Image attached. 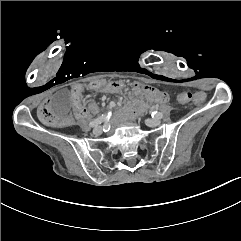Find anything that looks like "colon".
Instances as JSON below:
<instances>
[{"label":"colon","instance_id":"obj_1","mask_svg":"<svg viewBox=\"0 0 241 241\" xmlns=\"http://www.w3.org/2000/svg\"><path fill=\"white\" fill-rule=\"evenodd\" d=\"M86 90L90 91L92 88V91L94 93H99L101 91L100 81L98 79H87L85 81ZM85 90V87L82 84H73L71 86V93L70 96L73 99H76L78 105L81 107L84 103V98L81 95V93ZM193 96V100L195 104L202 105L205 102V97L202 92H198L196 94H192L189 92H183L179 96V101L182 104H187L191 102ZM85 114V111L83 109H80L79 111H75L73 113V116L75 118H78L79 116H83Z\"/></svg>","mask_w":241,"mask_h":241}]
</instances>
